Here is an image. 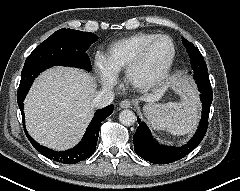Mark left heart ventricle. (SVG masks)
<instances>
[{"label": "left heart ventricle", "instance_id": "obj_1", "mask_svg": "<svg viewBox=\"0 0 240 191\" xmlns=\"http://www.w3.org/2000/svg\"><path fill=\"white\" fill-rule=\"evenodd\" d=\"M172 53L171 43L162 39L159 40L150 50L148 57L137 73L139 80H151L164 69Z\"/></svg>", "mask_w": 240, "mask_h": 191}]
</instances>
